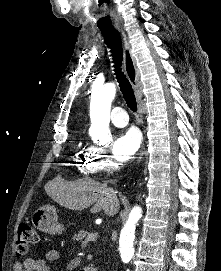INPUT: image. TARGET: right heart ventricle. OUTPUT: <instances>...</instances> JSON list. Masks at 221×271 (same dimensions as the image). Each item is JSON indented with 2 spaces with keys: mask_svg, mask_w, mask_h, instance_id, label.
<instances>
[{
  "mask_svg": "<svg viewBox=\"0 0 221 271\" xmlns=\"http://www.w3.org/2000/svg\"><path fill=\"white\" fill-rule=\"evenodd\" d=\"M74 161L76 163H78L79 161H81L82 163H85L87 160L85 158H82L81 160H79L78 158H76Z\"/></svg>",
  "mask_w": 221,
  "mask_h": 271,
  "instance_id": "right-heart-ventricle-1",
  "label": "right heart ventricle"
}]
</instances>
